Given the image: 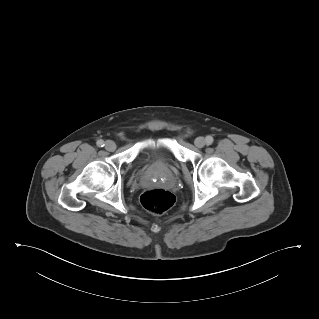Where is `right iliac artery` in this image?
I'll list each match as a JSON object with an SVG mask.
<instances>
[{"label":"right iliac artery","mask_w":319,"mask_h":319,"mask_svg":"<svg viewBox=\"0 0 319 319\" xmlns=\"http://www.w3.org/2000/svg\"><path fill=\"white\" fill-rule=\"evenodd\" d=\"M105 144H104V141L103 140H98L97 141V146L99 147H103Z\"/></svg>","instance_id":"right-iliac-artery-1"}]
</instances>
